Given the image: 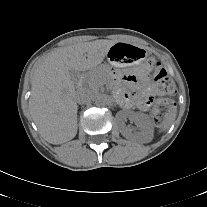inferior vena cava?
<instances>
[{"mask_svg": "<svg viewBox=\"0 0 207 207\" xmlns=\"http://www.w3.org/2000/svg\"><path fill=\"white\" fill-rule=\"evenodd\" d=\"M94 98L93 92L88 88H80L76 92V102L79 104H87Z\"/></svg>", "mask_w": 207, "mask_h": 207, "instance_id": "obj_1", "label": "inferior vena cava"}]
</instances>
